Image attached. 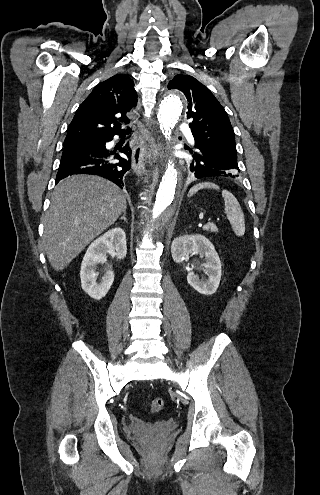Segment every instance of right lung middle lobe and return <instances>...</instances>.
<instances>
[{
  "label": "right lung middle lobe",
  "instance_id": "dd1d6c3e",
  "mask_svg": "<svg viewBox=\"0 0 320 495\" xmlns=\"http://www.w3.org/2000/svg\"><path fill=\"white\" fill-rule=\"evenodd\" d=\"M101 139L99 138H93V139H82V140H75V141H65L64 146L66 145H84V144H89V143H96L100 142Z\"/></svg>",
  "mask_w": 320,
  "mask_h": 495
}]
</instances>
